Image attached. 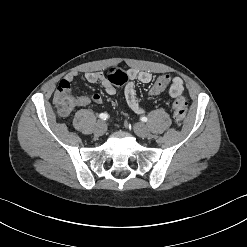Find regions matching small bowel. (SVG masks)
Wrapping results in <instances>:
<instances>
[{
  "mask_svg": "<svg viewBox=\"0 0 247 247\" xmlns=\"http://www.w3.org/2000/svg\"><path fill=\"white\" fill-rule=\"evenodd\" d=\"M128 76H129V82L126 85L125 90H124L126 101L133 112L140 114L144 112V108L142 107V105L139 103L137 99L135 82L147 84L151 81L152 75L147 71H138L136 69H131L128 73ZM75 77H76V73H70L61 80L60 84L61 85L65 84L70 87V84L74 80ZM84 78L89 83L101 84L104 91L109 95H114L116 93L115 85L112 84L102 72H98V71L87 72L85 73ZM183 90H184V87H183L182 79L179 77H174L171 80V85L169 88L170 97L175 99L176 97L182 95ZM91 102L101 103L102 102L101 95L98 93H94L90 97L80 96V97L74 98V103H73L72 108L68 112H65L62 114L67 115L74 107H84V106L89 105Z\"/></svg>",
  "mask_w": 247,
  "mask_h": 247,
  "instance_id": "small-bowel-1",
  "label": "small bowel"
}]
</instances>
